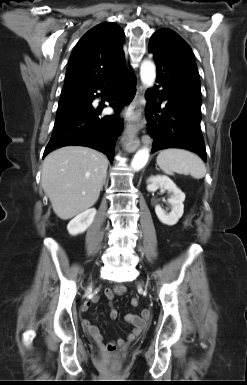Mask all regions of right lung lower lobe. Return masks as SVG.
<instances>
[{
  "label": "right lung lower lobe",
  "instance_id": "right-lung-lower-lobe-1",
  "mask_svg": "<svg viewBox=\"0 0 247 385\" xmlns=\"http://www.w3.org/2000/svg\"><path fill=\"white\" fill-rule=\"evenodd\" d=\"M135 79L132 71L126 67L109 82L93 88L87 95L63 107L58 108L55 127L43 157L54 149L80 145L97 149L113 161L114 144L123 130L122 120L117 115L99 118L100 110L92 106L94 92L102 90L107 93V101L118 112L122 106L133 99Z\"/></svg>",
  "mask_w": 247,
  "mask_h": 385
}]
</instances>
